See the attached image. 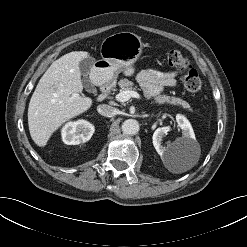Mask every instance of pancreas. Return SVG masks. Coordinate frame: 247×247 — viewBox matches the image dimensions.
Here are the masks:
<instances>
[{
    "label": "pancreas",
    "instance_id": "pancreas-1",
    "mask_svg": "<svg viewBox=\"0 0 247 247\" xmlns=\"http://www.w3.org/2000/svg\"><path fill=\"white\" fill-rule=\"evenodd\" d=\"M118 85L120 86L122 91H125V90L134 91V90H136V87L134 86V83L132 81H129L126 78L125 79H121L118 82ZM155 101L160 103V104L168 103V104H171V105H179L182 108L187 109L189 111L192 110L190 108V105L186 101H184V100H182L180 98L174 97V96H168V95H165V94L158 95V96L155 97Z\"/></svg>",
    "mask_w": 247,
    "mask_h": 247
}]
</instances>
